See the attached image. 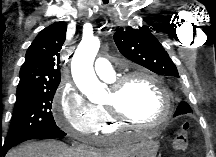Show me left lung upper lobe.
<instances>
[{"instance_id": "obj_1", "label": "left lung upper lobe", "mask_w": 216, "mask_h": 157, "mask_svg": "<svg viewBox=\"0 0 216 157\" xmlns=\"http://www.w3.org/2000/svg\"><path fill=\"white\" fill-rule=\"evenodd\" d=\"M113 38L119 51L127 59L159 75L179 77L175 64L149 28L121 29L114 33ZM181 110L190 112L191 108L186 106Z\"/></svg>"}]
</instances>
